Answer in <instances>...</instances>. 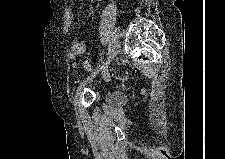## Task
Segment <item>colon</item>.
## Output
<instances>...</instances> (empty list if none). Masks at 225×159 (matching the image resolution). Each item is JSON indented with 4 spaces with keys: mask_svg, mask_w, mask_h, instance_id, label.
Listing matches in <instances>:
<instances>
[{
    "mask_svg": "<svg viewBox=\"0 0 225 159\" xmlns=\"http://www.w3.org/2000/svg\"><path fill=\"white\" fill-rule=\"evenodd\" d=\"M84 67L87 71H93L94 70V64L91 60L87 59L84 61ZM105 80H110V79H117L121 81H126L130 78V75L128 74H123L117 70H109L105 76Z\"/></svg>",
    "mask_w": 225,
    "mask_h": 159,
    "instance_id": "5ec220e1",
    "label": "colon"
}]
</instances>
